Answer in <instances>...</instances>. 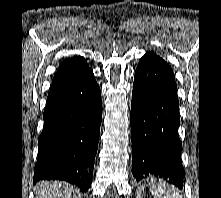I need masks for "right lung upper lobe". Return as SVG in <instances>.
Returning a JSON list of instances; mask_svg holds the SVG:
<instances>
[{
	"instance_id": "cb5924a9",
	"label": "right lung upper lobe",
	"mask_w": 221,
	"mask_h": 198,
	"mask_svg": "<svg viewBox=\"0 0 221 198\" xmlns=\"http://www.w3.org/2000/svg\"><path fill=\"white\" fill-rule=\"evenodd\" d=\"M88 71H90L88 64L81 56L64 60L52 80L50 92L76 81Z\"/></svg>"
}]
</instances>
